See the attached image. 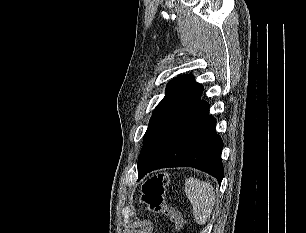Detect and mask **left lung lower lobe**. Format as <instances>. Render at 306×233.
I'll return each instance as SVG.
<instances>
[{"label":"left lung lower lobe","instance_id":"left-lung-lower-lobe-1","mask_svg":"<svg viewBox=\"0 0 306 233\" xmlns=\"http://www.w3.org/2000/svg\"><path fill=\"white\" fill-rule=\"evenodd\" d=\"M209 104L200 100L158 142L138 169L139 179L167 167H194L217 178L224 176L223 141L215 132L216 120L208 115Z\"/></svg>","mask_w":306,"mask_h":233}]
</instances>
